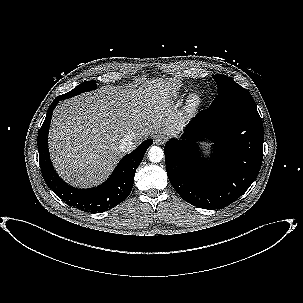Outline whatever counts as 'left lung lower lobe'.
Masks as SVG:
<instances>
[{
    "label": "left lung lower lobe",
    "mask_w": 303,
    "mask_h": 303,
    "mask_svg": "<svg viewBox=\"0 0 303 303\" xmlns=\"http://www.w3.org/2000/svg\"><path fill=\"white\" fill-rule=\"evenodd\" d=\"M210 139L214 153L201 157L197 142ZM263 122L255 104L209 107L191 120L181 138L164 147L166 171L177 193L203 209L223 208L257 178L262 164Z\"/></svg>",
    "instance_id": "left-lung-lower-lobe-1"
}]
</instances>
